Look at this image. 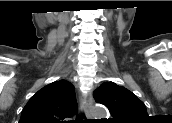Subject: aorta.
I'll use <instances>...</instances> for the list:
<instances>
[{
  "label": "aorta",
  "instance_id": "obj_1",
  "mask_svg": "<svg viewBox=\"0 0 172 123\" xmlns=\"http://www.w3.org/2000/svg\"><path fill=\"white\" fill-rule=\"evenodd\" d=\"M91 114L94 117H97L98 119L100 118H105L108 115V111L104 106H93L90 109Z\"/></svg>",
  "mask_w": 172,
  "mask_h": 123
}]
</instances>
